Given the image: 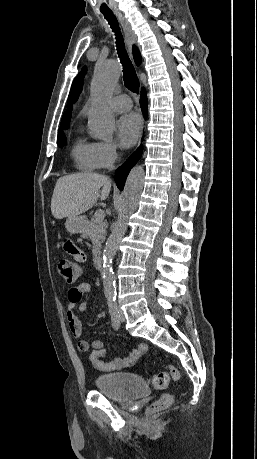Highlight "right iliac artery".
Segmentation results:
<instances>
[{
  "instance_id": "1",
  "label": "right iliac artery",
  "mask_w": 257,
  "mask_h": 459,
  "mask_svg": "<svg viewBox=\"0 0 257 459\" xmlns=\"http://www.w3.org/2000/svg\"><path fill=\"white\" fill-rule=\"evenodd\" d=\"M108 307L111 315L112 326L114 329L118 330L120 327L119 311L116 303L115 296H108Z\"/></svg>"
}]
</instances>
